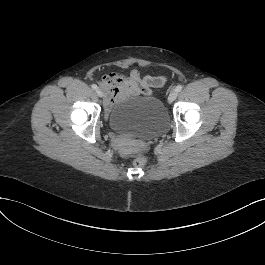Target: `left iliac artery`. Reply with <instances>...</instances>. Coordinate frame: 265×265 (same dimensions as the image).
Instances as JSON below:
<instances>
[{
    "label": "left iliac artery",
    "instance_id": "1",
    "mask_svg": "<svg viewBox=\"0 0 265 265\" xmlns=\"http://www.w3.org/2000/svg\"><path fill=\"white\" fill-rule=\"evenodd\" d=\"M182 88H183L182 85H177L176 88H175V90H176L177 92H180V91L182 90Z\"/></svg>",
    "mask_w": 265,
    "mask_h": 265
}]
</instances>
